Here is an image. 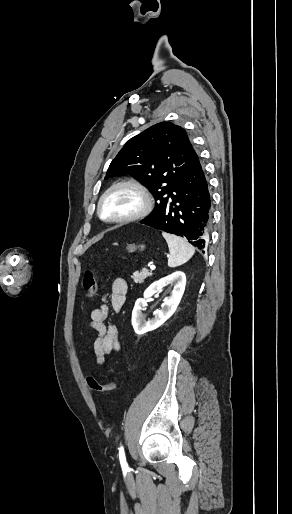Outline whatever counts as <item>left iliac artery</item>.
Returning a JSON list of instances; mask_svg holds the SVG:
<instances>
[{
  "label": "left iliac artery",
  "instance_id": "left-iliac-artery-1",
  "mask_svg": "<svg viewBox=\"0 0 292 514\" xmlns=\"http://www.w3.org/2000/svg\"><path fill=\"white\" fill-rule=\"evenodd\" d=\"M119 460H120V464H121V467L125 470H127L129 467H128V464L126 462V457H125V452H124V447L121 446L119 448Z\"/></svg>",
  "mask_w": 292,
  "mask_h": 514
}]
</instances>
